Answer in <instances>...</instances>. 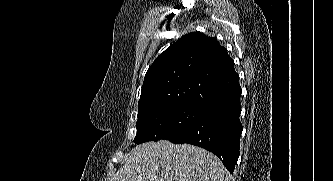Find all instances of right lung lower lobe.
I'll list each match as a JSON object with an SVG mask.
<instances>
[{"instance_id":"right-lung-lower-lobe-1","label":"right lung lower lobe","mask_w":333,"mask_h":181,"mask_svg":"<svg viewBox=\"0 0 333 181\" xmlns=\"http://www.w3.org/2000/svg\"><path fill=\"white\" fill-rule=\"evenodd\" d=\"M240 94L207 106L200 117L172 143H189L217 155L233 173L239 157L242 124L239 120Z\"/></svg>"}]
</instances>
